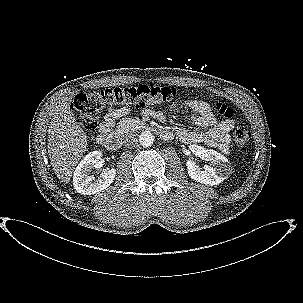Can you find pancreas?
<instances>
[{
  "instance_id": "pancreas-1",
  "label": "pancreas",
  "mask_w": 303,
  "mask_h": 303,
  "mask_svg": "<svg viewBox=\"0 0 303 303\" xmlns=\"http://www.w3.org/2000/svg\"><path fill=\"white\" fill-rule=\"evenodd\" d=\"M143 126H144V123L141 122L139 119L123 118L117 126L116 133L118 135H123L130 131H136L137 129H139Z\"/></svg>"
}]
</instances>
